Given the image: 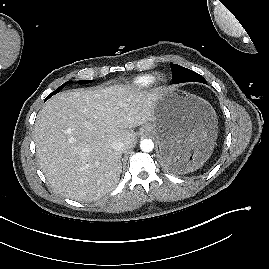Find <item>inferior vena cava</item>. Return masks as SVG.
<instances>
[{"instance_id":"obj_1","label":"inferior vena cava","mask_w":269,"mask_h":269,"mask_svg":"<svg viewBox=\"0 0 269 269\" xmlns=\"http://www.w3.org/2000/svg\"><path fill=\"white\" fill-rule=\"evenodd\" d=\"M111 146L116 151H123L124 150V143L121 140L113 141Z\"/></svg>"}]
</instances>
